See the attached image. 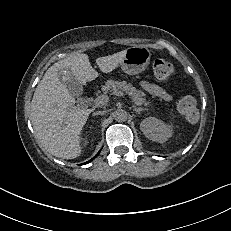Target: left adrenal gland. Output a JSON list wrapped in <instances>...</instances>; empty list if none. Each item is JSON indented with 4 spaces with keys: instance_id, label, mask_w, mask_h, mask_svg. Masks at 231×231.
<instances>
[{
    "instance_id": "obj_1",
    "label": "left adrenal gland",
    "mask_w": 231,
    "mask_h": 231,
    "mask_svg": "<svg viewBox=\"0 0 231 231\" xmlns=\"http://www.w3.org/2000/svg\"><path fill=\"white\" fill-rule=\"evenodd\" d=\"M133 110H134L136 113L140 114L141 111H144V110H147V109H144V108H141V107L137 108L136 106H133Z\"/></svg>"
}]
</instances>
